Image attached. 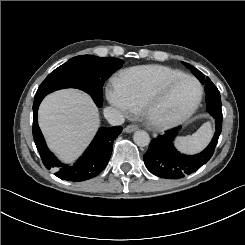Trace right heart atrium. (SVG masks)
Here are the masks:
<instances>
[{
  "mask_svg": "<svg viewBox=\"0 0 245 245\" xmlns=\"http://www.w3.org/2000/svg\"><path fill=\"white\" fill-rule=\"evenodd\" d=\"M109 101L120 108L125 114L130 115L132 107L123 99V97L115 91H111L108 94Z\"/></svg>",
  "mask_w": 245,
  "mask_h": 245,
  "instance_id": "right-heart-atrium-1",
  "label": "right heart atrium"
}]
</instances>
